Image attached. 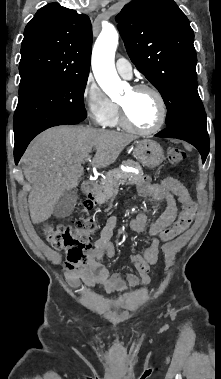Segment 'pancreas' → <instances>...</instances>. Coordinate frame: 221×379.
Masks as SVG:
<instances>
[{
    "instance_id": "cf45deb5",
    "label": "pancreas",
    "mask_w": 221,
    "mask_h": 379,
    "mask_svg": "<svg viewBox=\"0 0 221 379\" xmlns=\"http://www.w3.org/2000/svg\"><path fill=\"white\" fill-rule=\"evenodd\" d=\"M125 166L134 167L139 170L138 174L124 172L120 168L108 171L105 178H102L98 186V196L102 201H105L117 191L119 185L134 184L143 176V171L140 164L133 160H127L123 163Z\"/></svg>"
}]
</instances>
